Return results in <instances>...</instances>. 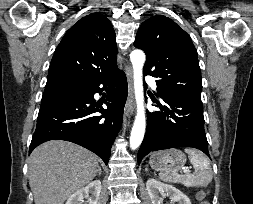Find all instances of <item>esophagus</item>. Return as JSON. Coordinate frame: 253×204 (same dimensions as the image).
<instances>
[{
    "label": "esophagus",
    "mask_w": 253,
    "mask_h": 204,
    "mask_svg": "<svg viewBox=\"0 0 253 204\" xmlns=\"http://www.w3.org/2000/svg\"><path fill=\"white\" fill-rule=\"evenodd\" d=\"M125 71L128 80L129 94L128 99L124 108V120L130 119L134 114L135 103H134V89H133V74L132 69L129 65H125Z\"/></svg>",
    "instance_id": "1"
}]
</instances>
